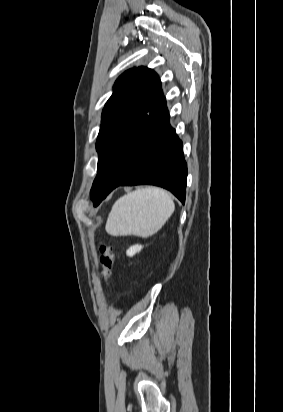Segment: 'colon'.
<instances>
[{
	"instance_id": "5ec220e1",
	"label": "colon",
	"mask_w": 283,
	"mask_h": 412,
	"mask_svg": "<svg viewBox=\"0 0 283 412\" xmlns=\"http://www.w3.org/2000/svg\"><path fill=\"white\" fill-rule=\"evenodd\" d=\"M99 263L101 266V274L106 284L110 279L112 269L114 266V253L112 247L108 244H101L99 247Z\"/></svg>"
}]
</instances>
